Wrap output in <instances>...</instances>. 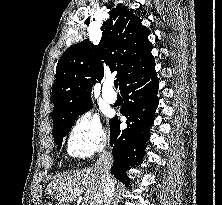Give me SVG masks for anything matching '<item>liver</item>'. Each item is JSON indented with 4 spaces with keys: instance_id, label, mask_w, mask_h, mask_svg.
<instances>
[{
    "instance_id": "6515ba94",
    "label": "liver",
    "mask_w": 222,
    "mask_h": 205,
    "mask_svg": "<svg viewBox=\"0 0 222 205\" xmlns=\"http://www.w3.org/2000/svg\"><path fill=\"white\" fill-rule=\"evenodd\" d=\"M46 192L56 194L57 200L69 205L82 196V205H99L103 186L96 168L62 174L48 184Z\"/></svg>"
}]
</instances>
